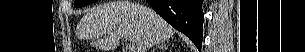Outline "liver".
<instances>
[{
  "instance_id": "6515ba94",
  "label": "liver",
  "mask_w": 305,
  "mask_h": 52,
  "mask_svg": "<svg viewBox=\"0 0 305 52\" xmlns=\"http://www.w3.org/2000/svg\"><path fill=\"white\" fill-rule=\"evenodd\" d=\"M77 34L106 52L115 50L122 38L146 52L172 38L175 30L151 8L119 0L90 9L79 21Z\"/></svg>"
}]
</instances>
